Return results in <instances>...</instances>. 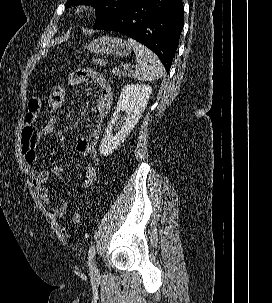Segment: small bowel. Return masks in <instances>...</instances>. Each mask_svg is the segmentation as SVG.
Returning a JSON list of instances; mask_svg holds the SVG:
<instances>
[{"mask_svg": "<svg viewBox=\"0 0 272 303\" xmlns=\"http://www.w3.org/2000/svg\"><path fill=\"white\" fill-rule=\"evenodd\" d=\"M86 82H94L99 88V95L95 103V112L97 114L96 125L88 136L82 137L76 142L77 152L90 159L89 164L85 168V176L81 183L83 189L91 188L96 181V167L100 161L96 145L101 136L104 118L109 113L112 105L111 87L101 73L85 69L72 73L68 78V83L72 86L82 85ZM40 109L41 101L39 98L34 97L28 102L21 132V152L33 186L39 191L42 202L48 204L50 202V193L46 186V181L49 172L45 169L37 171L33 167V164L37 160L36 148L39 141L44 137L52 135L54 130L44 128L43 126L40 129L35 128ZM51 171L58 178H63L65 173L64 169L57 165H54ZM67 208L68 204L61 202L52 208V213L56 217H63Z\"/></svg>", "mask_w": 272, "mask_h": 303, "instance_id": "c3829d8e", "label": "small bowel"}]
</instances>
